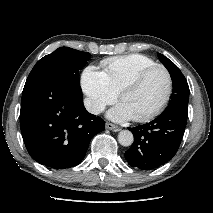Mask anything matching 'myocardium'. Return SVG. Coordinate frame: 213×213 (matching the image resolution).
<instances>
[{
  "instance_id": "1",
  "label": "myocardium",
  "mask_w": 213,
  "mask_h": 213,
  "mask_svg": "<svg viewBox=\"0 0 213 213\" xmlns=\"http://www.w3.org/2000/svg\"><path fill=\"white\" fill-rule=\"evenodd\" d=\"M155 70H162L166 76H167V90L165 93L164 98L162 99V101L154 108L152 109L150 112L139 116V117H133L132 119L135 122H146L152 118H154L155 116H157L164 108L165 106L168 104L171 94H172V90H173V77L171 72L169 71L168 68H166L163 65L160 64H156L150 67H147L143 70H141L140 72H138L136 75H134L130 80H128L119 90L118 92V99L121 101L123 95L128 92L129 90L135 88L136 86H138L142 80L151 72L155 71Z\"/></svg>"
}]
</instances>
